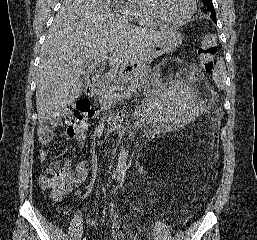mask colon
<instances>
[{
	"label": "colon",
	"mask_w": 257,
	"mask_h": 240,
	"mask_svg": "<svg viewBox=\"0 0 257 240\" xmlns=\"http://www.w3.org/2000/svg\"><path fill=\"white\" fill-rule=\"evenodd\" d=\"M216 53V35L213 33L205 34L198 49L200 68L203 72H212ZM93 115L94 109L90 103L86 100H80L62 114L61 121L67 126V133L70 137L80 139L85 129L86 121ZM52 125V122H49L43 127L51 129ZM42 184L51 190L54 197H63L70 191L73 184L71 168L68 165L60 167L58 163H54L42 178Z\"/></svg>",
	"instance_id": "obj_1"
}]
</instances>
